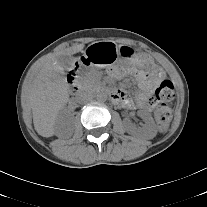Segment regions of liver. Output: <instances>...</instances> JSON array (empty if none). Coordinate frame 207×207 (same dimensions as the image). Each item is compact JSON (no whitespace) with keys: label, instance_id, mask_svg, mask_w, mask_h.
<instances>
[{"label":"liver","instance_id":"1","mask_svg":"<svg viewBox=\"0 0 207 207\" xmlns=\"http://www.w3.org/2000/svg\"><path fill=\"white\" fill-rule=\"evenodd\" d=\"M83 48V44H78L49 56L30 73L25 83L24 93L32 109L34 127L42 137L55 134L56 119L69 100L64 69L57 57L74 55Z\"/></svg>","mask_w":207,"mask_h":207}]
</instances>
